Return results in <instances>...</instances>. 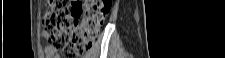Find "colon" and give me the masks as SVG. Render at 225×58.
<instances>
[{"mask_svg": "<svg viewBox=\"0 0 225 58\" xmlns=\"http://www.w3.org/2000/svg\"><path fill=\"white\" fill-rule=\"evenodd\" d=\"M110 0H50L42 20V34L50 55L77 57L97 39L111 11Z\"/></svg>", "mask_w": 225, "mask_h": 58, "instance_id": "colon-1", "label": "colon"}]
</instances>
